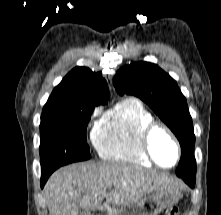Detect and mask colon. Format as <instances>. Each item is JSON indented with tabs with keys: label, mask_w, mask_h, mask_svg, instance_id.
I'll return each mask as SVG.
<instances>
[{
	"label": "colon",
	"mask_w": 221,
	"mask_h": 215,
	"mask_svg": "<svg viewBox=\"0 0 221 215\" xmlns=\"http://www.w3.org/2000/svg\"><path fill=\"white\" fill-rule=\"evenodd\" d=\"M165 215H179L177 208H170L166 211Z\"/></svg>",
	"instance_id": "5ec220e1"
}]
</instances>
